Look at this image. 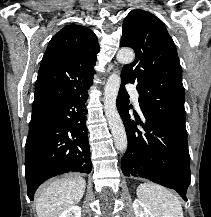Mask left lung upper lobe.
Segmentation results:
<instances>
[{
  "label": "left lung upper lobe",
  "mask_w": 211,
  "mask_h": 217,
  "mask_svg": "<svg viewBox=\"0 0 211 217\" xmlns=\"http://www.w3.org/2000/svg\"><path fill=\"white\" fill-rule=\"evenodd\" d=\"M121 46L135 50V61L121 79L136 83L141 110L185 126V91L176 46L165 25L144 10H132L122 26Z\"/></svg>",
  "instance_id": "1"
}]
</instances>
